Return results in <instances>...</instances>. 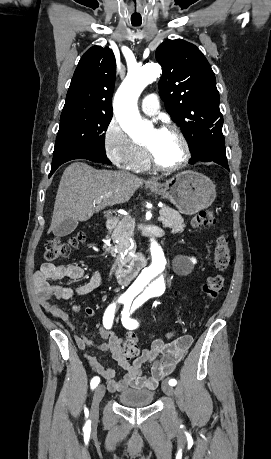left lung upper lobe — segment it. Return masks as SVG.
<instances>
[{"label": "left lung upper lobe", "instance_id": "left-lung-upper-lobe-1", "mask_svg": "<svg viewBox=\"0 0 271 459\" xmlns=\"http://www.w3.org/2000/svg\"><path fill=\"white\" fill-rule=\"evenodd\" d=\"M156 59L163 69L160 96L181 127L191 160H196L205 150L207 135L223 126L214 72L202 52L181 39L163 42Z\"/></svg>", "mask_w": 271, "mask_h": 459}]
</instances>
